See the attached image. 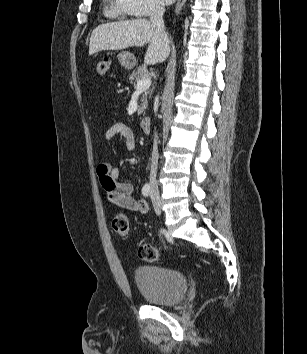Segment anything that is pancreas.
I'll return each instance as SVG.
<instances>
[{
    "mask_svg": "<svg viewBox=\"0 0 307 354\" xmlns=\"http://www.w3.org/2000/svg\"><path fill=\"white\" fill-rule=\"evenodd\" d=\"M146 79L149 78V72L146 68V66H139L136 71H133L132 74L130 75V83L137 82L141 79ZM149 92H145L142 98V103L141 106L138 109V114H143L145 109L147 108V97H148Z\"/></svg>",
    "mask_w": 307,
    "mask_h": 354,
    "instance_id": "1",
    "label": "pancreas"
}]
</instances>
